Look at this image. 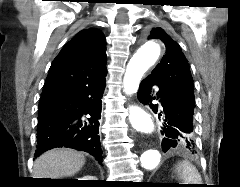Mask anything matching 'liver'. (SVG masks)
I'll return each mask as SVG.
<instances>
[{
    "instance_id": "liver-1",
    "label": "liver",
    "mask_w": 240,
    "mask_h": 187,
    "mask_svg": "<svg viewBox=\"0 0 240 187\" xmlns=\"http://www.w3.org/2000/svg\"><path fill=\"white\" fill-rule=\"evenodd\" d=\"M85 164L81 152L70 148H55L37 158L33 166V178H52L72 176Z\"/></svg>"
}]
</instances>
